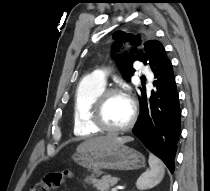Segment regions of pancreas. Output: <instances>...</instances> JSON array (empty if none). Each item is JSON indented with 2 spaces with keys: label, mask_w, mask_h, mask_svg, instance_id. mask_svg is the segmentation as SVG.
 Listing matches in <instances>:
<instances>
[{
  "label": "pancreas",
  "mask_w": 210,
  "mask_h": 191,
  "mask_svg": "<svg viewBox=\"0 0 210 191\" xmlns=\"http://www.w3.org/2000/svg\"><path fill=\"white\" fill-rule=\"evenodd\" d=\"M88 179L93 187L99 191H109L110 186L115 185L119 180L117 177H111L110 175L103 176L101 179H97L95 175H91Z\"/></svg>",
  "instance_id": "cf45deb5"
}]
</instances>
